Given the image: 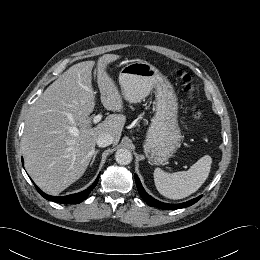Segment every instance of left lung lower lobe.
Here are the masks:
<instances>
[{"label": "left lung lower lobe", "instance_id": "0a47b994", "mask_svg": "<svg viewBox=\"0 0 260 260\" xmlns=\"http://www.w3.org/2000/svg\"><path fill=\"white\" fill-rule=\"evenodd\" d=\"M135 181H136L137 189H138L141 197L143 198V200L149 206L158 207L160 209L172 210V209L188 207V206H191L194 203H196L202 197V196H199L195 199H192L190 201H187L186 203H181V204H166V203L160 202V201L154 199L153 197H151L150 195H148L145 192L144 188L142 187L141 182L136 174H135Z\"/></svg>", "mask_w": 260, "mask_h": 260}]
</instances>
